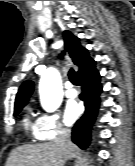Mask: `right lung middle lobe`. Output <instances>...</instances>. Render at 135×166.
Returning a JSON list of instances; mask_svg holds the SVG:
<instances>
[{"mask_svg":"<svg viewBox=\"0 0 135 166\" xmlns=\"http://www.w3.org/2000/svg\"><path fill=\"white\" fill-rule=\"evenodd\" d=\"M24 106L18 107L16 109H14V116H16L23 108Z\"/></svg>","mask_w":135,"mask_h":166,"instance_id":"obj_1","label":"right lung middle lobe"}]
</instances>
